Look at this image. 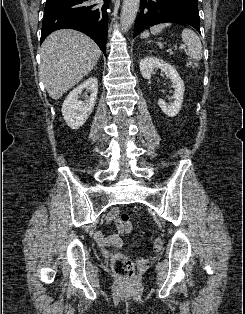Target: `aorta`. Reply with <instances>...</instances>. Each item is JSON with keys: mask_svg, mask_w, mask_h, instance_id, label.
<instances>
[{"mask_svg": "<svg viewBox=\"0 0 245 314\" xmlns=\"http://www.w3.org/2000/svg\"><path fill=\"white\" fill-rule=\"evenodd\" d=\"M140 0H123L121 10V28L124 32L128 31L136 18Z\"/></svg>", "mask_w": 245, "mask_h": 314, "instance_id": "762f6f07", "label": "aorta"}]
</instances>
